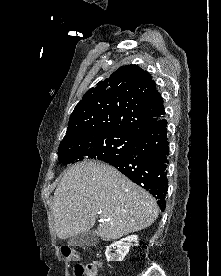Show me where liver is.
I'll list each match as a JSON object with an SVG mask.
<instances>
[{
  "instance_id": "liver-1",
  "label": "liver",
  "mask_w": 221,
  "mask_h": 276,
  "mask_svg": "<svg viewBox=\"0 0 221 276\" xmlns=\"http://www.w3.org/2000/svg\"><path fill=\"white\" fill-rule=\"evenodd\" d=\"M52 212L59 239L89 231L99 215L97 235L110 241L152 225L159 207L149 192L114 167L88 160L64 172Z\"/></svg>"
}]
</instances>
